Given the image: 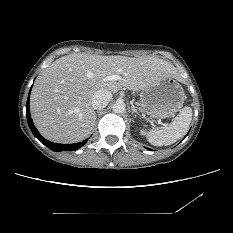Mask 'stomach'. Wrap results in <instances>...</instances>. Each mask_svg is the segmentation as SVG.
Instances as JSON below:
<instances>
[{
  "label": "stomach",
  "instance_id": "obj_1",
  "mask_svg": "<svg viewBox=\"0 0 233 233\" xmlns=\"http://www.w3.org/2000/svg\"><path fill=\"white\" fill-rule=\"evenodd\" d=\"M185 93L173 77L155 84L140 94L139 105L150 117L165 119L173 116L182 107Z\"/></svg>",
  "mask_w": 233,
  "mask_h": 233
}]
</instances>
